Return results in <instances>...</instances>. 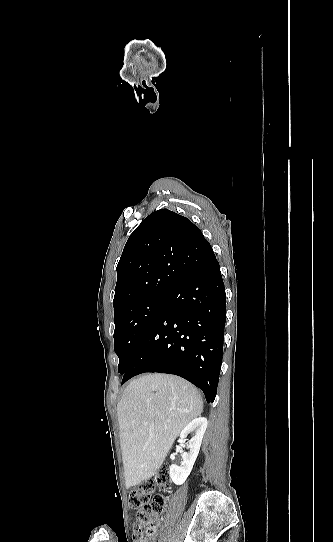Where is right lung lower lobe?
Returning <instances> with one entry per match:
<instances>
[{"label":"right lung lower lobe","instance_id":"right-lung-lower-lobe-1","mask_svg":"<svg viewBox=\"0 0 333 542\" xmlns=\"http://www.w3.org/2000/svg\"><path fill=\"white\" fill-rule=\"evenodd\" d=\"M162 259L179 267L184 279L168 292L124 372L122 384L145 372L175 374L205 394H217L223 355L226 295L220 266L211 245L187 252H162Z\"/></svg>","mask_w":333,"mask_h":542}]
</instances>
